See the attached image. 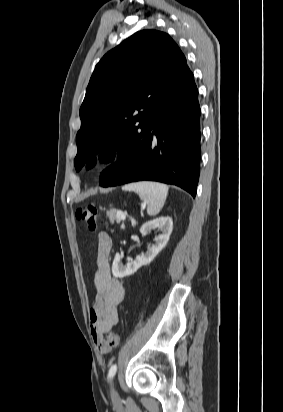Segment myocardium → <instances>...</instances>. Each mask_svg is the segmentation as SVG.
<instances>
[{
  "instance_id": "f54148a6",
  "label": "myocardium",
  "mask_w": 283,
  "mask_h": 412,
  "mask_svg": "<svg viewBox=\"0 0 283 412\" xmlns=\"http://www.w3.org/2000/svg\"><path fill=\"white\" fill-rule=\"evenodd\" d=\"M115 156H116V153H111L108 155L101 154L100 156L97 157V165L106 166L113 160Z\"/></svg>"
}]
</instances>
